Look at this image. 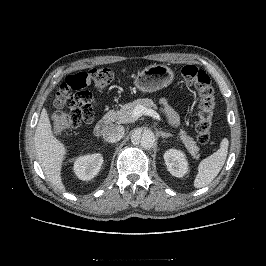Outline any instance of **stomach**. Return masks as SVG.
Returning a JSON list of instances; mask_svg holds the SVG:
<instances>
[{
  "label": "stomach",
  "mask_w": 266,
  "mask_h": 266,
  "mask_svg": "<svg viewBox=\"0 0 266 266\" xmlns=\"http://www.w3.org/2000/svg\"><path fill=\"white\" fill-rule=\"evenodd\" d=\"M174 80L173 70L165 64H154L139 71L134 84L142 92H156L170 85Z\"/></svg>",
  "instance_id": "1"
}]
</instances>
